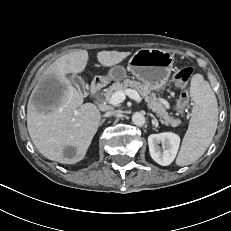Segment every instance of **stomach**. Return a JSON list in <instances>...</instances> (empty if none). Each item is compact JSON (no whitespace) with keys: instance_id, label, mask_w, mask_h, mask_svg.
I'll use <instances>...</instances> for the list:
<instances>
[{"instance_id":"stomach-1","label":"stomach","mask_w":231,"mask_h":231,"mask_svg":"<svg viewBox=\"0 0 231 231\" xmlns=\"http://www.w3.org/2000/svg\"><path fill=\"white\" fill-rule=\"evenodd\" d=\"M174 57L162 49H140L128 62V70L143 84L153 90H163L173 70ZM126 76L125 69L114 66L110 69V80H121Z\"/></svg>"}]
</instances>
